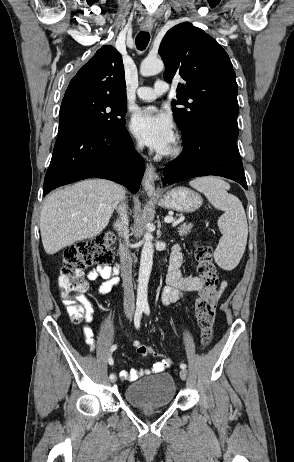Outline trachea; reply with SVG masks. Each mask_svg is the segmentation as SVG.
<instances>
[{"instance_id":"obj_1","label":"trachea","mask_w":294,"mask_h":462,"mask_svg":"<svg viewBox=\"0 0 294 462\" xmlns=\"http://www.w3.org/2000/svg\"><path fill=\"white\" fill-rule=\"evenodd\" d=\"M149 41H150V34L148 32H143V31L139 32V34L136 37L137 49L140 51H143L147 47Z\"/></svg>"}]
</instances>
